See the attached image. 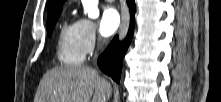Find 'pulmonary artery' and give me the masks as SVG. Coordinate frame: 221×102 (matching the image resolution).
<instances>
[{
  "label": "pulmonary artery",
  "mask_w": 221,
  "mask_h": 102,
  "mask_svg": "<svg viewBox=\"0 0 221 102\" xmlns=\"http://www.w3.org/2000/svg\"><path fill=\"white\" fill-rule=\"evenodd\" d=\"M108 2H112L113 0H107Z\"/></svg>",
  "instance_id": "obj_1"
}]
</instances>
